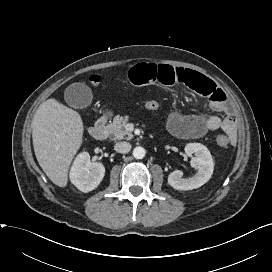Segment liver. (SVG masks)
<instances>
[{"label":"liver","mask_w":272,"mask_h":272,"mask_svg":"<svg viewBox=\"0 0 272 272\" xmlns=\"http://www.w3.org/2000/svg\"><path fill=\"white\" fill-rule=\"evenodd\" d=\"M32 131L34 152L40 167L55 185L66 187L69 167L83 141L81 116L50 98L37 109Z\"/></svg>","instance_id":"1"}]
</instances>
